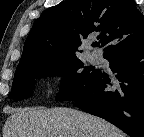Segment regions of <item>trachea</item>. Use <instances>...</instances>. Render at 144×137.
<instances>
[{"mask_svg": "<svg viewBox=\"0 0 144 137\" xmlns=\"http://www.w3.org/2000/svg\"><path fill=\"white\" fill-rule=\"evenodd\" d=\"M93 45L94 46H99L100 44L98 42H95Z\"/></svg>", "mask_w": 144, "mask_h": 137, "instance_id": "1", "label": "trachea"}]
</instances>
